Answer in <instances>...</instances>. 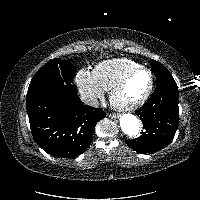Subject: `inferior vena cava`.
<instances>
[{
  "label": "inferior vena cava",
  "instance_id": "1",
  "mask_svg": "<svg viewBox=\"0 0 200 200\" xmlns=\"http://www.w3.org/2000/svg\"><path fill=\"white\" fill-rule=\"evenodd\" d=\"M81 100L89 106H92V107L99 106V101L94 96L82 95Z\"/></svg>",
  "mask_w": 200,
  "mask_h": 200
}]
</instances>
